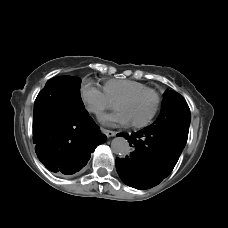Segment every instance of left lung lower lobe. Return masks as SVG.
I'll return each instance as SVG.
<instances>
[{
  "mask_svg": "<svg viewBox=\"0 0 228 228\" xmlns=\"http://www.w3.org/2000/svg\"><path fill=\"white\" fill-rule=\"evenodd\" d=\"M118 136L128 139L134 151L116 159L117 172L124 183L136 189L151 188L166 178L187 142L181 132L155 124L131 135Z\"/></svg>",
  "mask_w": 228,
  "mask_h": 228,
  "instance_id": "left-lung-lower-lobe-1",
  "label": "left lung lower lobe"
}]
</instances>
